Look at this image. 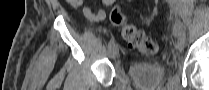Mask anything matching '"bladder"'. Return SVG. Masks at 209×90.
Listing matches in <instances>:
<instances>
[{
  "mask_svg": "<svg viewBox=\"0 0 209 90\" xmlns=\"http://www.w3.org/2000/svg\"><path fill=\"white\" fill-rule=\"evenodd\" d=\"M167 65L159 62H143L129 66V76L141 88L152 89L166 77Z\"/></svg>",
  "mask_w": 209,
  "mask_h": 90,
  "instance_id": "31cf9c89",
  "label": "bladder"
}]
</instances>
